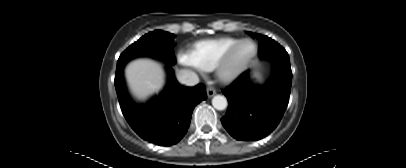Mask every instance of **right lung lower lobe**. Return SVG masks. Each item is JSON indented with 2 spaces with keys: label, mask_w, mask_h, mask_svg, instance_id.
<instances>
[{
  "label": "right lung lower lobe",
  "mask_w": 406,
  "mask_h": 168,
  "mask_svg": "<svg viewBox=\"0 0 406 168\" xmlns=\"http://www.w3.org/2000/svg\"><path fill=\"white\" fill-rule=\"evenodd\" d=\"M165 69V86L145 102L136 101L129 93L124 69L116 70L114 82L129 125L141 138L159 146H171L182 139L189 128L193 109L207 97L204 85H181L172 65L166 64Z\"/></svg>",
  "instance_id": "98d812e1"
}]
</instances>
